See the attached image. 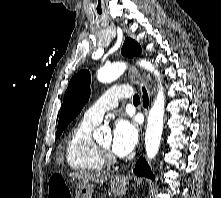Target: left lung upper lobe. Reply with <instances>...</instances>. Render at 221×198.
<instances>
[{"label": "left lung upper lobe", "mask_w": 221, "mask_h": 198, "mask_svg": "<svg viewBox=\"0 0 221 198\" xmlns=\"http://www.w3.org/2000/svg\"><path fill=\"white\" fill-rule=\"evenodd\" d=\"M121 52L127 57L138 56L141 53V47L134 40L126 38ZM89 96L90 73L87 70H83L71 79L65 92L57 127V137L61 135L66 126L79 114L88 101Z\"/></svg>", "instance_id": "1"}]
</instances>
